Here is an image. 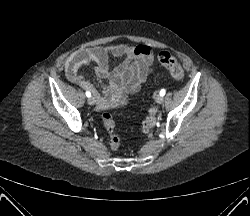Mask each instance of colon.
I'll return each mask as SVG.
<instances>
[{
  "label": "colon",
  "mask_w": 250,
  "mask_h": 216,
  "mask_svg": "<svg viewBox=\"0 0 250 216\" xmlns=\"http://www.w3.org/2000/svg\"><path fill=\"white\" fill-rule=\"evenodd\" d=\"M160 64L165 67L173 78L180 80L184 77V71L177 59L169 52H160L158 55ZM155 109L152 108L141 124V132L149 133L155 126ZM102 123L107 130L110 138V147L112 150H117L120 145V138L116 133V124L113 117L109 113L102 115Z\"/></svg>",
  "instance_id": "1"
}]
</instances>
